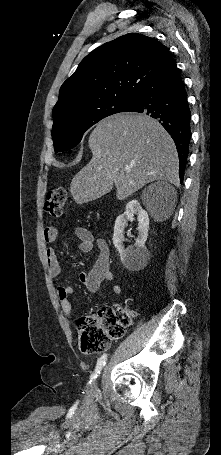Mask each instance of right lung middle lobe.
Masks as SVG:
<instances>
[{"instance_id": "1", "label": "right lung middle lobe", "mask_w": 221, "mask_h": 455, "mask_svg": "<svg viewBox=\"0 0 221 455\" xmlns=\"http://www.w3.org/2000/svg\"><path fill=\"white\" fill-rule=\"evenodd\" d=\"M131 102L120 99L107 100L55 120L52 127L55 152L67 151L75 147L91 126L107 116L123 112Z\"/></svg>"}]
</instances>
